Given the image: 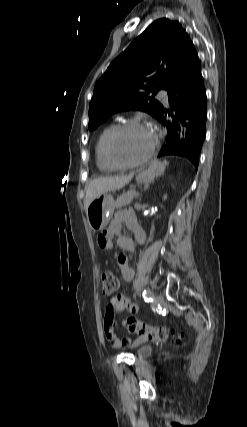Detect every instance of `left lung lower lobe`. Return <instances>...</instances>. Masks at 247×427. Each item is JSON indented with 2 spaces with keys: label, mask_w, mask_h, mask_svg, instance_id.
<instances>
[{
  "label": "left lung lower lobe",
  "mask_w": 247,
  "mask_h": 427,
  "mask_svg": "<svg viewBox=\"0 0 247 427\" xmlns=\"http://www.w3.org/2000/svg\"><path fill=\"white\" fill-rule=\"evenodd\" d=\"M171 111L164 109L158 120L167 127V143L159 152L164 155H180L187 157L198 168L200 151L206 136L207 119L206 91L198 61L191 72L168 90ZM167 115L171 119H167ZM189 119L190 124L184 120ZM189 130L182 132L181 127Z\"/></svg>",
  "instance_id": "obj_1"
}]
</instances>
